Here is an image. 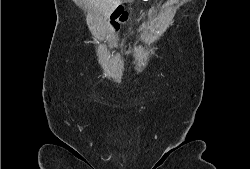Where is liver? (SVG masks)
<instances>
[{
  "label": "liver",
  "mask_w": 250,
  "mask_h": 169,
  "mask_svg": "<svg viewBox=\"0 0 250 169\" xmlns=\"http://www.w3.org/2000/svg\"><path fill=\"white\" fill-rule=\"evenodd\" d=\"M91 6H96L101 14H110L122 0H86Z\"/></svg>",
  "instance_id": "6515ba94"
}]
</instances>
